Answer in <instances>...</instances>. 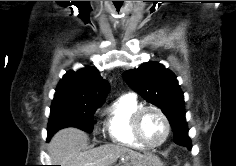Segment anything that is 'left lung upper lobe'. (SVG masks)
I'll return each instance as SVG.
<instances>
[{"label": "left lung upper lobe", "mask_w": 236, "mask_h": 166, "mask_svg": "<svg viewBox=\"0 0 236 166\" xmlns=\"http://www.w3.org/2000/svg\"><path fill=\"white\" fill-rule=\"evenodd\" d=\"M123 77L146 101L159 107L170 123L180 120L186 124L183 93L176 76L162 64L144 63L125 71Z\"/></svg>", "instance_id": "obj_1"}]
</instances>
